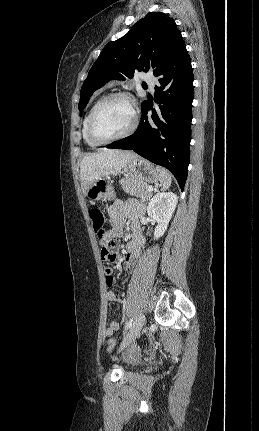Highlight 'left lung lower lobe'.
Segmentation results:
<instances>
[{"label": "left lung lower lobe", "instance_id": "left-lung-lower-lobe-1", "mask_svg": "<svg viewBox=\"0 0 259 431\" xmlns=\"http://www.w3.org/2000/svg\"><path fill=\"white\" fill-rule=\"evenodd\" d=\"M158 77L154 100L159 104L147 112L150 101L141 106L142 119L137 131L108 148L133 150L149 161L172 172L183 191L190 161V140L193 101L191 60L182 39L154 74Z\"/></svg>", "mask_w": 259, "mask_h": 431}]
</instances>
